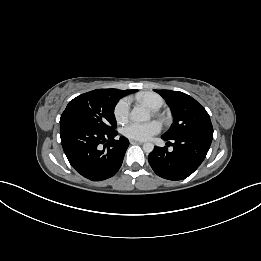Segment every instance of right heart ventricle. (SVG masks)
I'll list each match as a JSON object with an SVG mask.
<instances>
[{
	"mask_svg": "<svg viewBox=\"0 0 261 261\" xmlns=\"http://www.w3.org/2000/svg\"><path fill=\"white\" fill-rule=\"evenodd\" d=\"M139 100L151 109H158L163 101L162 98L152 92H146L139 97Z\"/></svg>",
	"mask_w": 261,
	"mask_h": 261,
	"instance_id": "e07e8e85",
	"label": "right heart ventricle"
}]
</instances>
